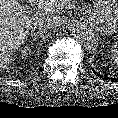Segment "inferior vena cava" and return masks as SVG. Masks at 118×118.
Here are the masks:
<instances>
[{
	"instance_id": "inferior-vena-cava-1",
	"label": "inferior vena cava",
	"mask_w": 118,
	"mask_h": 118,
	"mask_svg": "<svg viewBox=\"0 0 118 118\" xmlns=\"http://www.w3.org/2000/svg\"><path fill=\"white\" fill-rule=\"evenodd\" d=\"M58 25L57 21L51 17H41L37 21V27L42 34Z\"/></svg>"
}]
</instances>
